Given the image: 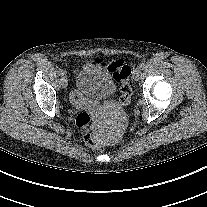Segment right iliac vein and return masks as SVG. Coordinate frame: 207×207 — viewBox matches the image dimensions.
I'll use <instances>...</instances> for the list:
<instances>
[{
	"instance_id": "63e3f726",
	"label": "right iliac vein",
	"mask_w": 207,
	"mask_h": 207,
	"mask_svg": "<svg viewBox=\"0 0 207 207\" xmlns=\"http://www.w3.org/2000/svg\"><path fill=\"white\" fill-rule=\"evenodd\" d=\"M61 83H62V86L65 88L68 86V79L65 75L62 76Z\"/></svg>"
}]
</instances>
